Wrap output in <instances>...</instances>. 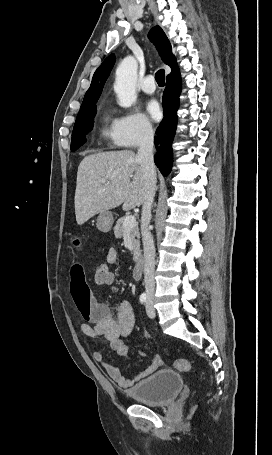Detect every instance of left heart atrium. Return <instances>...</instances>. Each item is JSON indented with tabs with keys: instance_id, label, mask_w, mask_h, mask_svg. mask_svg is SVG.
I'll return each instance as SVG.
<instances>
[{
	"instance_id": "1",
	"label": "left heart atrium",
	"mask_w": 272,
	"mask_h": 455,
	"mask_svg": "<svg viewBox=\"0 0 272 455\" xmlns=\"http://www.w3.org/2000/svg\"><path fill=\"white\" fill-rule=\"evenodd\" d=\"M147 111L155 120H158L161 116V109L159 103L156 100H150L147 103Z\"/></svg>"
}]
</instances>
